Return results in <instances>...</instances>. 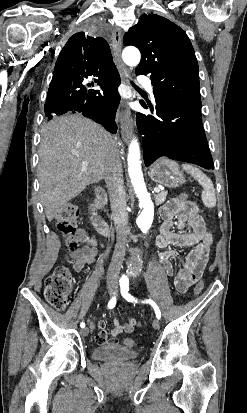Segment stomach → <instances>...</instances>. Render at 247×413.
Returning a JSON list of instances; mask_svg holds the SVG:
<instances>
[{"label":"stomach","instance_id":"0dacf381","mask_svg":"<svg viewBox=\"0 0 247 413\" xmlns=\"http://www.w3.org/2000/svg\"><path fill=\"white\" fill-rule=\"evenodd\" d=\"M148 174L152 180L164 184V186H180L186 182L183 170H180L177 162L169 160V158H160L148 170Z\"/></svg>","mask_w":247,"mask_h":413}]
</instances>
